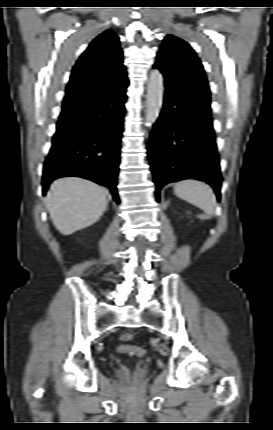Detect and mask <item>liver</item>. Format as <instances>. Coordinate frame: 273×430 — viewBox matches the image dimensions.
Returning <instances> with one entry per match:
<instances>
[{
    "label": "liver",
    "instance_id": "1",
    "mask_svg": "<svg viewBox=\"0 0 273 430\" xmlns=\"http://www.w3.org/2000/svg\"><path fill=\"white\" fill-rule=\"evenodd\" d=\"M107 204L105 190L80 177L55 180L46 196L52 222L63 235H70L97 222Z\"/></svg>",
    "mask_w": 273,
    "mask_h": 430
}]
</instances>
